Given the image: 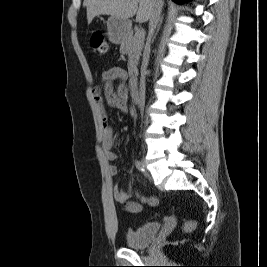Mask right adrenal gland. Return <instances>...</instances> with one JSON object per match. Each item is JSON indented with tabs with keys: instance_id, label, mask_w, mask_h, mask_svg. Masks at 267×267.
I'll return each instance as SVG.
<instances>
[{
	"instance_id": "1",
	"label": "right adrenal gland",
	"mask_w": 267,
	"mask_h": 267,
	"mask_svg": "<svg viewBox=\"0 0 267 267\" xmlns=\"http://www.w3.org/2000/svg\"><path fill=\"white\" fill-rule=\"evenodd\" d=\"M162 22H163V17H161L160 18V23L158 24V27H157V31H156V34H155V36L157 35V33L159 32V30H160V28H161V25H162ZM155 36L153 37V40L152 41H154V39H155Z\"/></svg>"
}]
</instances>
